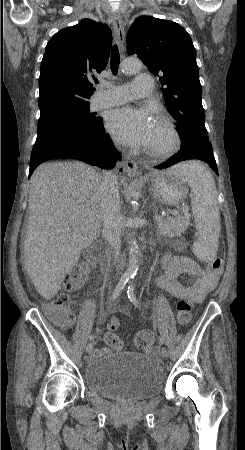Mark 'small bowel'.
I'll return each instance as SVG.
<instances>
[{
    "label": "small bowel",
    "mask_w": 245,
    "mask_h": 450,
    "mask_svg": "<svg viewBox=\"0 0 245 450\" xmlns=\"http://www.w3.org/2000/svg\"><path fill=\"white\" fill-rule=\"evenodd\" d=\"M164 261L163 273L158 277L157 284L175 299L198 303L218 284V274L200 269L193 260L187 257L167 253ZM184 275L194 276L196 279L192 284L187 285L181 280ZM104 316L105 314L101 313V318ZM110 351V348L105 346L97 349L95 354L105 355Z\"/></svg>",
    "instance_id": "1"
}]
</instances>
